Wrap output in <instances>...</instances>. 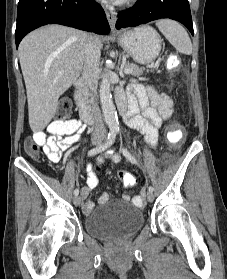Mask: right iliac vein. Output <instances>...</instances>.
Returning <instances> with one entry per match:
<instances>
[{"mask_svg":"<svg viewBox=\"0 0 227 279\" xmlns=\"http://www.w3.org/2000/svg\"><path fill=\"white\" fill-rule=\"evenodd\" d=\"M101 142H102V139L99 138V139L94 140V141H93V144L96 145V146H98V145L101 144ZM73 203H74L75 206H79L80 203H81L80 197L75 196L74 199H73Z\"/></svg>","mask_w":227,"mask_h":279,"instance_id":"63e3f726","label":"right iliac vein"}]
</instances>
